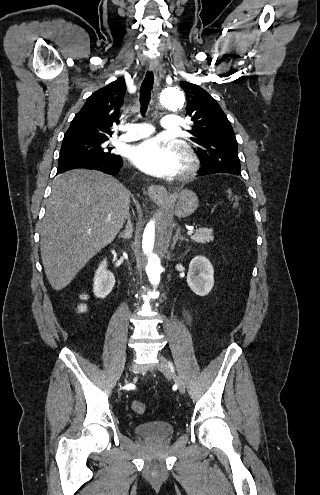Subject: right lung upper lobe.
Segmentation results:
<instances>
[{
    "label": "right lung upper lobe",
    "instance_id": "1",
    "mask_svg": "<svg viewBox=\"0 0 320 495\" xmlns=\"http://www.w3.org/2000/svg\"><path fill=\"white\" fill-rule=\"evenodd\" d=\"M124 80L117 79L95 91L75 115L63 140L109 138L113 123H118L125 95Z\"/></svg>",
    "mask_w": 320,
    "mask_h": 495
}]
</instances>
